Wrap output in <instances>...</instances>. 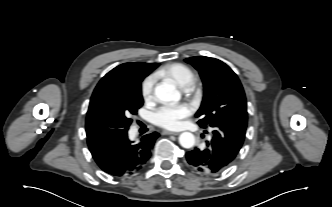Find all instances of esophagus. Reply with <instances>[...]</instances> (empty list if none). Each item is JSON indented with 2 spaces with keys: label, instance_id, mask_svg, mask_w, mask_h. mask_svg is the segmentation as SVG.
I'll list each match as a JSON object with an SVG mask.
<instances>
[{
  "label": "esophagus",
  "instance_id": "obj_1",
  "mask_svg": "<svg viewBox=\"0 0 332 207\" xmlns=\"http://www.w3.org/2000/svg\"><path fill=\"white\" fill-rule=\"evenodd\" d=\"M163 135H178V132H173V131H168V130H163L162 131Z\"/></svg>",
  "mask_w": 332,
  "mask_h": 207
}]
</instances>
